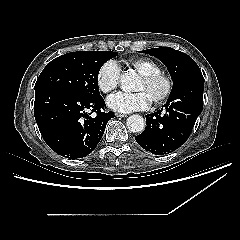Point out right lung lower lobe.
Segmentation results:
<instances>
[{
    "label": "right lung lower lobe",
    "instance_id": "98d812e1",
    "mask_svg": "<svg viewBox=\"0 0 240 240\" xmlns=\"http://www.w3.org/2000/svg\"><path fill=\"white\" fill-rule=\"evenodd\" d=\"M102 96L86 98L63 90L35 91L34 116L40 133L57 154L70 159L90 154L113 112L105 113ZM95 112V116L91 114Z\"/></svg>",
    "mask_w": 240,
    "mask_h": 240
}]
</instances>
